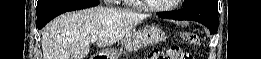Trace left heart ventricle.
<instances>
[{"mask_svg": "<svg viewBox=\"0 0 261 59\" xmlns=\"http://www.w3.org/2000/svg\"><path fill=\"white\" fill-rule=\"evenodd\" d=\"M174 2V0H153V1H149V3L151 5H155V6H168L170 4H172Z\"/></svg>", "mask_w": 261, "mask_h": 59, "instance_id": "b2bd125f", "label": "left heart ventricle"}]
</instances>
